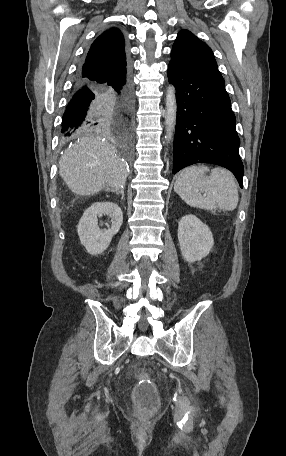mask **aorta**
I'll use <instances>...</instances> for the list:
<instances>
[{
    "instance_id": "obj_1",
    "label": "aorta",
    "mask_w": 286,
    "mask_h": 456,
    "mask_svg": "<svg viewBox=\"0 0 286 456\" xmlns=\"http://www.w3.org/2000/svg\"><path fill=\"white\" fill-rule=\"evenodd\" d=\"M177 115V101H176V90L173 85H169L166 91V128H167V139L171 140L173 131L176 125Z\"/></svg>"
}]
</instances>
